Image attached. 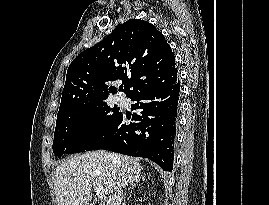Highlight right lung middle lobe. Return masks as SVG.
I'll return each mask as SVG.
<instances>
[{
  "instance_id": "right-lung-middle-lobe-1",
  "label": "right lung middle lobe",
  "mask_w": 269,
  "mask_h": 205,
  "mask_svg": "<svg viewBox=\"0 0 269 205\" xmlns=\"http://www.w3.org/2000/svg\"><path fill=\"white\" fill-rule=\"evenodd\" d=\"M106 102L87 107L79 112L57 118L53 152L73 154L85 151L121 115Z\"/></svg>"
}]
</instances>
